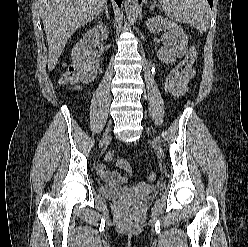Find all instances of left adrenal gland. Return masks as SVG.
I'll list each match as a JSON object with an SVG mask.
<instances>
[{
  "mask_svg": "<svg viewBox=\"0 0 248 247\" xmlns=\"http://www.w3.org/2000/svg\"><path fill=\"white\" fill-rule=\"evenodd\" d=\"M155 6H156V2H154V3L151 5L150 9H153Z\"/></svg>",
  "mask_w": 248,
  "mask_h": 247,
  "instance_id": "a2214340",
  "label": "left adrenal gland"
}]
</instances>
